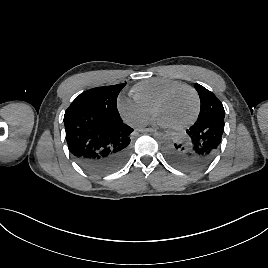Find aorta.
<instances>
[{"label": "aorta", "instance_id": "aorta-1", "mask_svg": "<svg viewBox=\"0 0 268 268\" xmlns=\"http://www.w3.org/2000/svg\"><path fill=\"white\" fill-rule=\"evenodd\" d=\"M154 137L157 142H164L166 140L167 134L164 130L159 129L155 132Z\"/></svg>", "mask_w": 268, "mask_h": 268}]
</instances>
